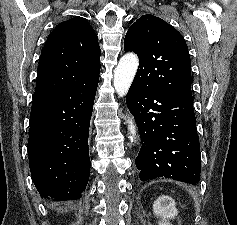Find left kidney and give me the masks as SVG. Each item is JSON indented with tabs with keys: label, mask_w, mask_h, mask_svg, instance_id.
<instances>
[{
	"label": "left kidney",
	"mask_w": 237,
	"mask_h": 225,
	"mask_svg": "<svg viewBox=\"0 0 237 225\" xmlns=\"http://www.w3.org/2000/svg\"><path fill=\"white\" fill-rule=\"evenodd\" d=\"M153 212L160 217L159 225H172L169 219L175 218L178 214L175 201L169 196H159L153 204Z\"/></svg>",
	"instance_id": "1"
}]
</instances>
